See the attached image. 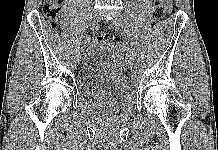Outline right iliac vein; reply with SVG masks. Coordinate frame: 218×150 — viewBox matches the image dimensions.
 Returning <instances> with one entry per match:
<instances>
[{
  "label": "right iliac vein",
  "mask_w": 218,
  "mask_h": 150,
  "mask_svg": "<svg viewBox=\"0 0 218 150\" xmlns=\"http://www.w3.org/2000/svg\"><path fill=\"white\" fill-rule=\"evenodd\" d=\"M97 22H98V17H97V15H92V16L90 17V23H91L92 27H95V25H96ZM87 46H88V43H87V42H84L81 47L84 49V48L87 47Z\"/></svg>",
  "instance_id": "right-iliac-vein-1"
}]
</instances>
